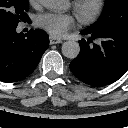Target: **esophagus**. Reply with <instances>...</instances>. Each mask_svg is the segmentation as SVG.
<instances>
[{"label": "esophagus", "instance_id": "esophagus-1", "mask_svg": "<svg viewBox=\"0 0 128 128\" xmlns=\"http://www.w3.org/2000/svg\"><path fill=\"white\" fill-rule=\"evenodd\" d=\"M49 42L51 45L52 44H58V43H62V39L54 37V36H49Z\"/></svg>", "mask_w": 128, "mask_h": 128}]
</instances>
